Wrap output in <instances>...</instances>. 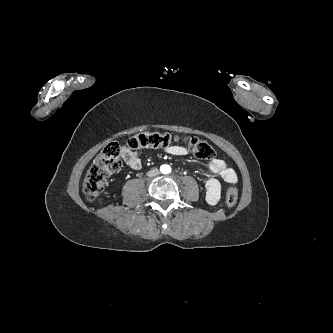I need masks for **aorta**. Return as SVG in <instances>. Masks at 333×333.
Returning a JSON list of instances; mask_svg holds the SVG:
<instances>
[{
  "mask_svg": "<svg viewBox=\"0 0 333 333\" xmlns=\"http://www.w3.org/2000/svg\"><path fill=\"white\" fill-rule=\"evenodd\" d=\"M161 171L165 174H168L171 172V168L168 165H164V166H162Z\"/></svg>",
  "mask_w": 333,
  "mask_h": 333,
  "instance_id": "762f6f07",
  "label": "aorta"
}]
</instances>
